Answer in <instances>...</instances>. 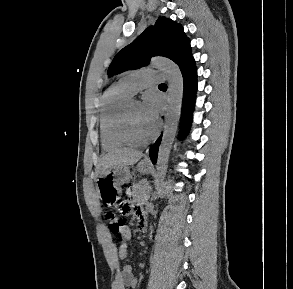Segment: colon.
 Returning a JSON list of instances; mask_svg holds the SVG:
<instances>
[{
  "label": "colon",
  "mask_w": 293,
  "mask_h": 289,
  "mask_svg": "<svg viewBox=\"0 0 293 289\" xmlns=\"http://www.w3.org/2000/svg\"><path fill=\"white\" fill-rule=\"evenodd\" d=\"M140 210L132 205L131 203L125 201L120 204L119 213L122 215H138ZM105 219L108 224L110 232L115 236H122L125 228L124 220L115 212L108 211L105 214Z\"/></svg>",
  "instance_id": "obj_1"
}]
</instances>
